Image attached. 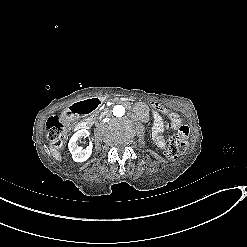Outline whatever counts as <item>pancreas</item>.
I'll list each match as a JSON object with an SVG mask.
<instances>
[{"instance_id": "obj_1", "label": "pancreas", "mask_w": 247, "mask_h": 247, "mask_svg": "<svg viewBox=\"0 0 247 247\" xmlns=\"http://www.w3.org/2000/svg\"><path fill=\"white\" fill-rule=\"evenodd\" d=\"M93 118H94V117L91 116V117L88 118V120H92Z\"/></svg>"}]
</instances>
